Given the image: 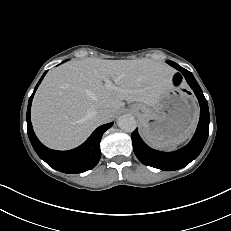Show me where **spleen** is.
Listing matches in <instances>:
<instances>
[{
  "label": "spleen",
  "mask_w": 231,
  "mask_h": 231,
  "mask_svg": "<svg viewBox=\"0 0 231 231\" xmlns=\"http://www.w3.org/2000/svg\"><path fill=\"white\" fill-rule=\"evenodd\" d=\"M172 149H175V147H173V148H169V150H172Z\"/></svg>",
  "instance_id": "spleen-1"
}]
</instances>
